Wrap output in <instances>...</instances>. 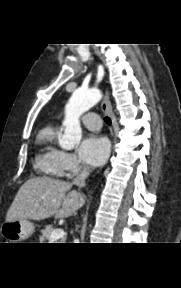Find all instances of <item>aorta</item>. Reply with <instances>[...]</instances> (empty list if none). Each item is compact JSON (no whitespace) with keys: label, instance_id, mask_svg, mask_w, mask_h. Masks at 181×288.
<instances>
[{"label":"aorta","instance_id":"obj_1","mask_svg":"<svg viewBox=\"0 0 181 288\" xmlns=\"http://www.w3.org/2000/svg\"><path fill=\"white\" fill-rule=\"evenodd\" d=\"M100 99L101 93L97 89H77L73 92L65 107V118L63 121L65 129L59 140V144L63 149L70 150L80 143L82 130L79 118Z\"/></svg>","mask_w":181,"mask_h":288}]
</instances>
